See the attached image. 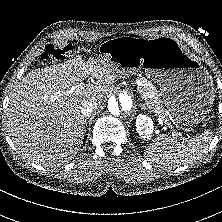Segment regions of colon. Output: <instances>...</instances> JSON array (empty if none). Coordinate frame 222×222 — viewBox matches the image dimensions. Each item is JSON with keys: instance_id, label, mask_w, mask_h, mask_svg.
Here are the masks:
<instances>
[{"instance_id": "obj_1", "label": "colon", "mask_w": 222, "mask_h": 222, "mask_svg": "<svg viewBox=\"0 0 222 222\" xmlns=\"http://www.w3.org/2000/svg\"><path fill=\"white\" fill-rule=\"evenodd\" d=\"M68 50V47L58 48L53 45H49L44 50L41 58L45 63H54L64 59Z\"/></svg>"}]
</instances>
